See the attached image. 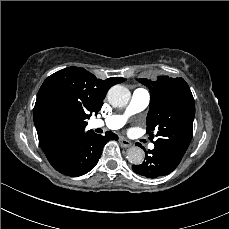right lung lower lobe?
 I'll return each mask as SVG.
<instances>
[{
    "label": "right lung lower lobe",
    "mask_w": 229,
    "mask_h": 229,
    "mask_svg": "<svg viewBox=\"0 0 229 229\" xmlns=\"http://www.w3.org/2000/svg\"><path fill=\"white\" fill-rule=\"evenodd\" d=\"M117 139L118 136L112 132H106L102 136L88 131L73 138L49 162L62 174L81 176L97 164L106 142Z\"/></svg>",
    "instance_id": "1"
}]
</instances>
